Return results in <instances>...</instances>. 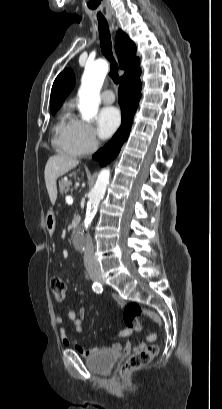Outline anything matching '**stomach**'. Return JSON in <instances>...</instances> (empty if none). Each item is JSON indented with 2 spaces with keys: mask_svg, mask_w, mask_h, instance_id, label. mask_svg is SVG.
I'll return each mask as SVG.
<instances>
[{
  "mask_svg": "<svg viewBox=\"0 0 222 409\" xmlns=\"http://www.w3.org/2000/svg\"><path fill=\"white\" fill-rule=\"evenodd\" d=\"M55 224H56V220H55L54 214L49 213L45 219V225H46L48 232L52 233L54 231Z\"/></svg>",
  "mask_w": 222,
  "mask_h": 409,
  "instance_id": "stomach-1",
  "label": "stomach"
}]
</instances>
